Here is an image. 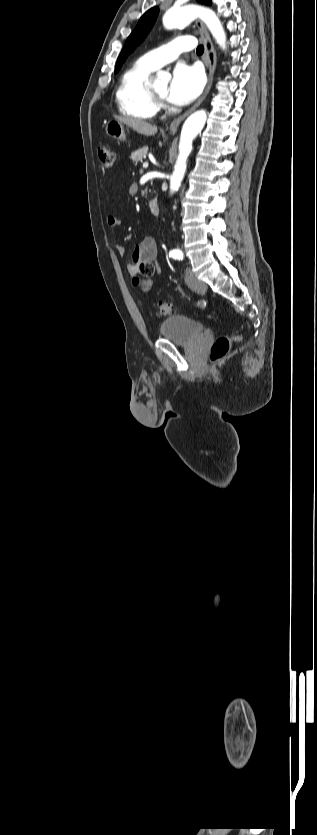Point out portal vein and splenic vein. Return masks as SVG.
Returning a JSON list of instances; mask_svg holds the SVG:
<instances>
[{
  "instance_id": "portal-vein-and-splenic-vein-1",
  "label": "portal vein and splenic vein",
  "mask_w": 317,
  "mask_h": 835,
  "mask_svg": "<svg viewBox=\"0 0 317 835\" xmlns=\"http://www.w3.org/2000/svg\"><path fill=\"white\" fill-rule=\"evenodd\" d=\"M148 166H149L148 162L143 163V168H148Z\"/></svg>"
}]
</instances>
